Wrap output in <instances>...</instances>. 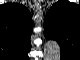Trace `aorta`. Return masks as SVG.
<instances>
[{
    "label": "aorta",
    "mask_w": 80,
    "mask_h": 60,
    "mask_svg": "<svg viewBox=\"0 0 80 60\" xmlns=\"http://www.w3.org/2000/svg\"><path fill=\"white\" fill-rule=\"evenodd\" d=\"M46 48H47V50L52 51L57 56H59L60 47H59L57 42H55V41H48L47 44H46Z\"/></svg>",
    "instance_id": "1"
}]
</instances>
